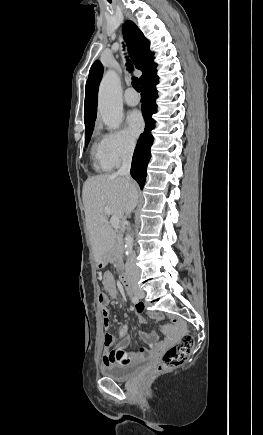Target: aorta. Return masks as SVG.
Instances as JSON below:
<instances>
[{"mask_svg":"<svg viewBox=\"0 0 263 435\" xmlns=\"http://www.w3.org/2000/svg\"><path fill=\"white\" fill-rule=\"evenodd\" d=\"M98 109L104 124L111 130L118 129L123 118L120 80L116 73L109 71L103 77L98 93ZM134 238L132 233L125 236V253L131 255Z\"/></svg>","mask_w":263,"mask_h":435,"instance_id":"762f6f07","label":"aorta"}]
</instances>
